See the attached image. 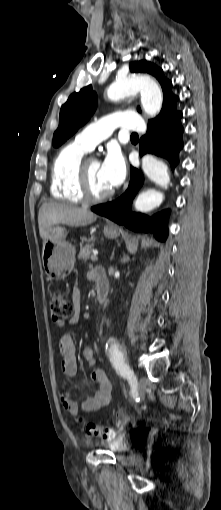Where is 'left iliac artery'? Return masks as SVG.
I'll list each match as a JSON object with an SVG mask.
<instances>
[{
    "mask_svg": "<svg viewBox=\"0 0 221 510\" xmlns=\"http://www.w3.org/2000/svg\"><path fill=\"white\" fill-rule=\"evenodd\" d=\"M110 361L121 376L127 378L130 385L137 383L133 370L129 367L128 361L124 358L123 351L114 345L110 351Z\"/></svg>",
    "mask_w": 221,
    "mask_h": 510,
    "instance_id": "obj_1",
    "label": "left iliac artery"
}]
</instances>
